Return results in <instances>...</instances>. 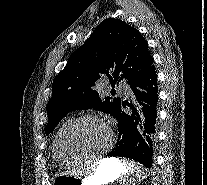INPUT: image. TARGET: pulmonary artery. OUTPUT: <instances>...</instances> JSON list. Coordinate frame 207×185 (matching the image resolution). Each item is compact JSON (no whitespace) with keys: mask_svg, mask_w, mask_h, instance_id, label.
<instances>
[{"mask_svg":"<svg viewBox=\"0 0 207 185\" xmlns=\"http://www.w3.org/2000/svg\"><path fill=\"white\" fill-rule=\"evenodd\" d=\"M120 90L126 94V95H130V89L128 87H120Z\"/></svg>","mask_w":207,"mask_h":185,"instance_id":"obj_1","label":"pulmonary artery"}]
</instances>
